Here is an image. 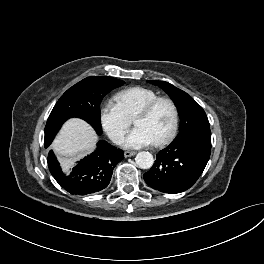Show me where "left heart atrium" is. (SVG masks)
Masks as SVG:
<instances>
[{
  "instance_id": "39dd6f15",
  "label": "left heart atrium",
  "mask_w": 264,
  "mask_h": 264,
  "mask_svg": "<svg viewBox=\"0 0 264 264\" xmlns=\"http://www.w3.org/2000/svg\"><path fill=\"white\" fill-rule=\"evenodd\" d=\"M154 143L152 137L141 127H135L124 139L123 144L128 148H140Z\"/></svg>"
}]
</instances>
